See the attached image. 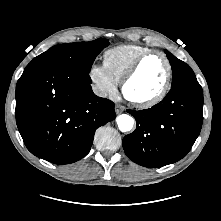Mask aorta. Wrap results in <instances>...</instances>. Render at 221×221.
<instances>
[{
	"label": "aorta",
	"instance_id": "762f6f07",
	"mask_svg": "<svg viewBox=\"0 0 221 221\" xmlns=\"http://www.w3.org/2000/svg\"><path fill=\"white\" fill-rule=\"evenodd\" d=\"M118 128L121 132H128L133 128L134 119L128 114H121L116 118Z\"/></svg>",
	"mask_w": 221,
	"mask_h": 221
}]
</instances>
